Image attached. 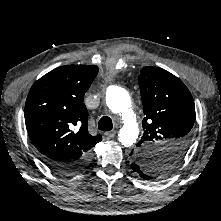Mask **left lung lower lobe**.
<instances>
[{
  "instance_id": "obj_1",
  "label": "left lung lower lobe",
  "mask_w": 221,
  "mask_h": 221,
  "mask_svg": "<svg viewBox=\"0 0 221 221\" xmlns=\"http://www.w3.org/2000/svg\"><path fill=\"white\" fill-rule=\"evenodd\" d=\"M131 168L134 170V172H136V174H138L140 177H149V175L145 172V166L140 165L137 162H133L131 164ZM148 180V179H146Z\"/></svg>"
}]
</instances>
